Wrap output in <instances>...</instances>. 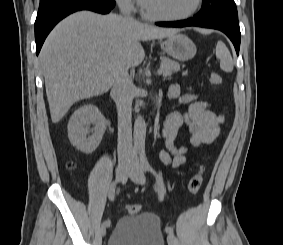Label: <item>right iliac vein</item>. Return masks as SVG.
I'll return each mask as SVG.
<instances>
[{
    "label": "right iliac vein",
    "mask_w": 283,
    "mask_h": 245,
    "mask_svg": "<svg viewBox=\"0 0 283 245\" xmlns=\"http://www.w3.org/2000/svg\"><path fill=\"white\" fill-rule=\"evenodd\" d=\"M129 164H130V159L128 157H122L119 159L118 166L116 169V180L117 181H120L124 177ZM106 229H107V225L103 223L100 229L102 236L106 235Z\"/></svg>",
    "instance_id": "obj_1"
}]
</instances>
